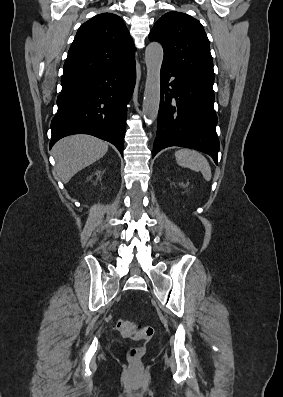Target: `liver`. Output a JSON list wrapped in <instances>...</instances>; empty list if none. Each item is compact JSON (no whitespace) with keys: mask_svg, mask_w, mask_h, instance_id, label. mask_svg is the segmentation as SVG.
Here are the masks:
<instances>
[{"mask_svg":"<svg viewBox=\"0 0 283 397\" xmlns=\"http://www.w3.org/2000/svg\"><path fill=\"white\" fill-rule=\"evenodd\" d=\"M107 150L108 143L93 136L65 137L53 147L56 173L64 183H68L77 172L102 158Z\"/></svg>","mask_w":283,"mask_h":397,"instance_id":"obj_1","label":"liver"}]
</instances>
